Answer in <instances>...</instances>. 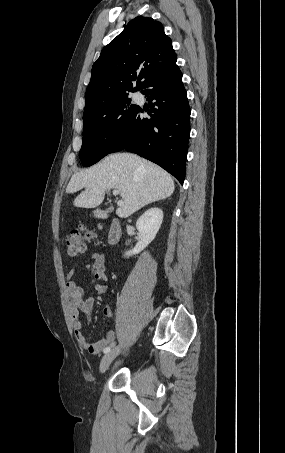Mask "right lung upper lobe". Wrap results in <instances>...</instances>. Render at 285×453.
<instances>
[{
  "instance_id": "right-lung-upper-lobe-1",
  "label": "right lung upper lobe",
  "mask_w": 285,
  "mask_h": 453,
  "mask_svg": "<svg viewBox=\"0 0 285 453\" xmlns=\"http://www.w3.org/2000/svg\"><path fill=\"white\" fill-rule=\"evenodd\" d=\"M176 60L163 25L148 17L134 18L103 48L93 64L84 113L128 92L144 89L154 76L175 66Z\"/></svg>"
}]
</instances>
